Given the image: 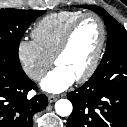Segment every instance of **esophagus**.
I'll use <instances>...</instances> for the list:
<instances>
[{
  "mask_svg": "<svg viewBox=\"0 0 127 127\" xmlns=\"http://www.w3.org/2000/svg\"><path fill=\"white\" fill-rule=\"evenodd\" d=\"M57 99H58V96H55V95L48 96L49 103H52V102L56 101Z\"/></svg>",
  "mask_w": 127,
  "mask_h": 127,
  "instance_id": "obj_1",
  "label": "esophagus"
}]
</instances>
